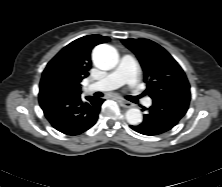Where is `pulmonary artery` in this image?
Returning <instances> with one entry per match:
<instances>
[{"instance_id": "obj_1", "label": "pulmonary artery", "mask_w": 222, "mask_h": 187, "mask_svg": "<svg viewBox=\"0 0 222 187\" xmlns=\"http://www.w3.org/2000/svg\"><path fill=\"white\" fill-rule=\"evenodd\" d=\"M138 81L139 72L135 59L130 55H124L114 70L109 72L102 80L91 84L89 88L108 91L116 89L123 84H128L131 87L132 94L137 96L146 106H150L152 101L140 93Z\"/></svg>"}]
</instances>
